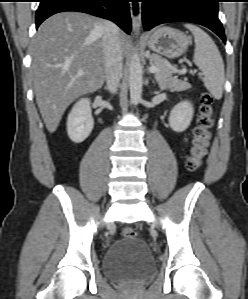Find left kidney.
Wrapping results in <instances>:
<instances>
[{"mask_svg":"<svg viewBox=\"0 0 248 299\" xmlns=\"http://www.w3.org/2000/svg\"><path fill=\"white\" fill-rule=\"evenodd\" d=\"M194 109L189 101L178 103L170 112L169 125L175 132L185 131L193 118Z\"/></svg>","mask_w":248,"mask_h":299,"instance_id":"left-kidney-1","label":"left kidney"}]
</instances>
